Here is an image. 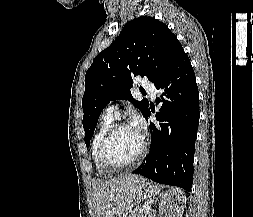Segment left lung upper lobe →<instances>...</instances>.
<instances>
[{
    "label": "left lung upper lobe",
    "instance_id": "obj_1",
    "mask_svg": "<svg viewBox=\"0 0 253 217\" xmlns=\"http://www.w3.org/2000/svg\"><path fill=\"white\" fill-rule=\"evenodd\" d=\"M183 53L176 36L154 17L141 16L129 21L86 72L82 99L86 145L90 143L101 111L112 100L127 99L145 116L149 103L132 97L133 77L146 76L156 84Z\"/></svg>",
    "mask_w": 253,
    "mask_h": 217
}]
</instances>
